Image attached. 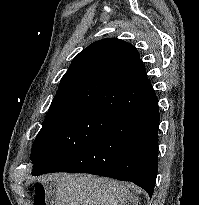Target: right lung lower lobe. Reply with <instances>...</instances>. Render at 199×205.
Returning a JSON list of instances; mask_svg holds the SVG:
<instances>
[{
	"label": "right lung lower lobe",
	"instance_id": "98d812e1",
	"mask_svg": "<svg viewBox=\"0 0 199 205\" xmlns=\"http://www.w3.org/2000/svg\"><path fill=\"white\" fill-rule=\"evenodd\" d=\"M129 88L143 98V104L51 172L90 173L130 181L152 197L158 171V100L149 82Z\"/></svg>",
	"mask_w": 199,
	"mask_h": 205
}]
</instances>
